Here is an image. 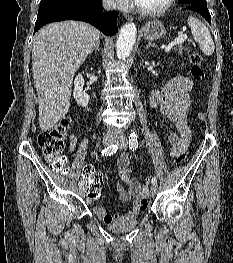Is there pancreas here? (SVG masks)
I'll use <instances>...</instances> for the list:
<instances>
[{
	"mask_svg": "<svg viewBox=\"0 0 233 263\" xmlns=\"http://www.w3.org/2000/svg\"><path fill=\"white\" fill-rule=\"evenodd\" d=\"M189 47H186L184 46L183 44H180L178 45L176 48H175V51L179 54V55H182V52L183 51H189Z\"/></svg>",
	"mask_w": 233,
	"mask_h": 263,
	"instance_id": "pancreas-1",
	"label": "pancreas"
}]
</instances>
